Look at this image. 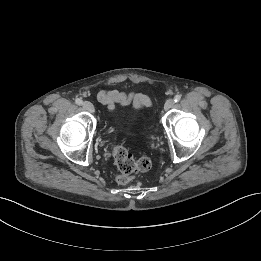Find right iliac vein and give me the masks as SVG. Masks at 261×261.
Wrapping results in <instances>:
<instances>
[{
  "label": "right iliac vein",
  "instance_id": "right-iliac-vein-1",
  "mask_svg": "<svg viewBox=\"0 0 261 261\" xmlns=\"http://www.w3.org/2000/svg\"><path fill=\"white\" fill-rule=\"evenodd\" d=\"M82 106H83V108H84L86 111H88V112H90V113H94V111H95V108H94L93 104H92L91 102H89V101H84V102L82 103Z\"/></svg>",
  "mask_w": 261,
  "mask_h": 261
}]
</instances>
